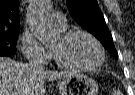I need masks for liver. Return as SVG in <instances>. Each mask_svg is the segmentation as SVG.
Returning <instances> with one entry per match:
<instances>
[{"label":"liver","mask_w":135,"mask_h":95,"mask_svg":"<svg viewBox=\"0 0 135 95\" xmlns=\"http://www.w3.org/2000/svg\"><path fill=\"white\" fill-rule=\"evenodd\" d=\"M71 72H52L40 67L0 57V95H45V80L72 76Z\"/></svg>","instance_id":"6515ba94"}]
</instances>
